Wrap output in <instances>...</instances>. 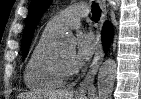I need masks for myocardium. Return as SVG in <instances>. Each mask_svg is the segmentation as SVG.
Segmentation results:
<instances>
[{"label": "myocardium", "mask_w": 141, "mask_h": 99, "mask_svg": "<svg viewBox=\"0 0 141 99\" xmlns=\"http://www.w3.org/2000/svg\"><path fill=\"white\" fill-rule=\"evenodd\" d=\"M53 64L56 72L64 79L76 73V68L72 64L68 65L64 63L58 56L57 52H54L53 54Z\"/></svg>", "instance_id": "myocardium-1"}]
</instances>
